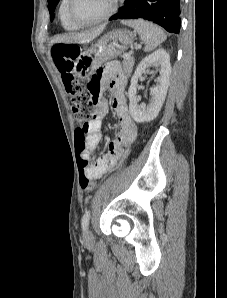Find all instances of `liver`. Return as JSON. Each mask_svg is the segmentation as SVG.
Segmentation results:
<instances>
[{"instance_id":"liver-1","label":"liver","mask_w":227,"mask_h":298,"mask_svg":"<svg viewBox=\"0 0 227 298\" xmlns=\"http://www.w3.org/2000/svg\"><path fill=\"white\" fill-rule=\"evenodd\" d=\"M104 29H105V26H101L91 32L71 33V34L57 36L52 40V43H65V44L89 43L92 40H94L96 37H98L103 32Z\"/></svg>"}]
</instances>
